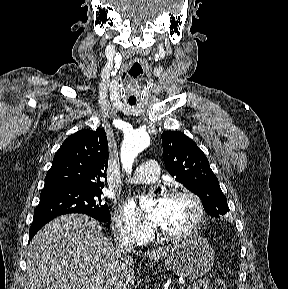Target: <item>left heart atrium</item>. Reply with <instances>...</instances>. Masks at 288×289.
Masks as SVG:
<instances>
[{"label":"left heart atrium","instance_id":"left-heart-atrium-1","mask_svg":"<svg viewBox=\"0 0 288 289\" xmlns=\"http://www.w3.org/2000/svg\"><path fill=\"white\" fill-rule=\"evenodd\" d=\"M161 201H162L161 199L157 200L151 212L147 214L148 219L156 224H159L161 221ZM126 209L130 213H137L138 212L137 201L136 200L129 201Z\"/></svg>","mask_w":288,"mask_h":289}]
</instances>
